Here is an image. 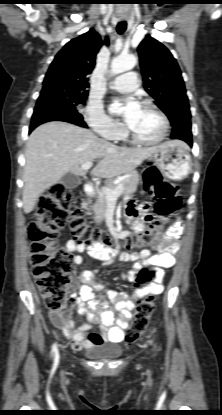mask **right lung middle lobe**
<instances>
[{
	"instance_id": "1",
	"label": "right lung middle lobe",
	"mask_w": 222,
	"mask_h": 415,
	"mask_svg": "<svg viewBox=\"0 0 222 415\" xmlns=\"http://www.w3.org/2000/svg\"><path fill=\"white\" fill-rule=\"evenodd\" d=\"M56 91L70 101L74 107L84 105L88 97L87 92H80L71 88H57Z\"/></svg>"
}]
</instances>
